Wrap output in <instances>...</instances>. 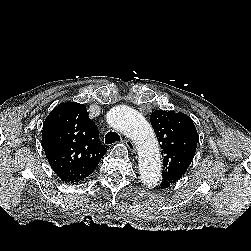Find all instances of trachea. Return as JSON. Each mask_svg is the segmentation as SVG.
<instances>
[{"mask_svg": "<svg viewBox=\"0 0 251 251\" xmlns=\"http://www.w3.org/2000/svg\"><path fill=\"white\" fill-rule=\"evenodd\" d=\"M118 141H120V136L116 132L110 131L105 136V143L107 145L113 144Z\"/></svg>", "mask_w": 251, "mask_h": 251, "instance_id": "3493384b", "label": "trachea"}]
</instances>
